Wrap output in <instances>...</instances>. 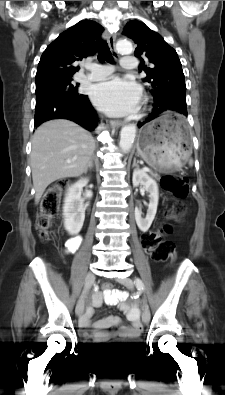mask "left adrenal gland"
<instances>
[{
    "instance_id": "left-adrenal-gland-1",
    "label": "left adrenal gland",
    "mask_w": 225,
    "mask_h": 395,
    "mask_svg": "<svg viewBox=\"0 0 225 395\" xmlns=\"http://www.w3.org/2000/svg\"><path fill=\"white\" fill-rule=\"evenodd\" d=\"M139 167V165H138V162H136V158H134V160H133V165H132V167Z\"/></svg>"
}]
</instances>
